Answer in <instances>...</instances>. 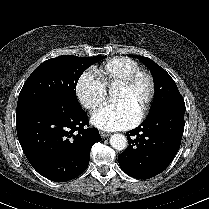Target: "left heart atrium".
Segmentation results:
<instances>
[{
    "label": "left heart atrium",
    "mask_w": 209,
    "mask_h": 209,
    "mask_svg": "<svg viewBox=\"0 0 209 209\" xmlns=\"http://www.w3.org/2000/svg\"><path fill=\"white\" fill-rule=\"evenodd\" d=\"M136 111L125 101L105 105L91 118L93 125L104 131L127 129L135 125Z\"/></svg>",
    "instance_id": "obj_1"
}]
</instances>
